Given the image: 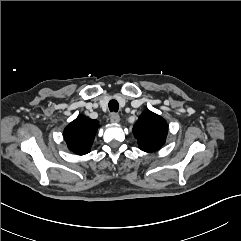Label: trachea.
<instances>
[{"instance_id":"1","label":"trachea","mask_w":241,"mask_h":241,"mask_svg":"<svg viewBox=\"0 0 241 241\" xmlns=\"http://www.w3.org/2000/svg\"><path fill=\"white\" fill-rule=\"evenodd\" d=\"M108 107L111 112H117L119 109V103L116 100H110Z\"/></svg>"}]
</instances>
